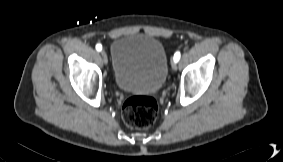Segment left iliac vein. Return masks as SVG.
I'll return each mask as SVG.
<instances>
[{
    "label": "left iliac vein",
    "instance_id": "left-iliac-vein-1",
    "mask_svg": "<svg viewBox=\"0 0 283 162\" xmlns=\"http://www.w3.org/2000/svg\"><path fill=\"white\" fill-rule=\"evenodd\" d=\"M172 69L177 70V62L175 61L172 62Z\"/></svg>",
    "mask_w": 283,
    "mask_h": 162
}]
</instances>
